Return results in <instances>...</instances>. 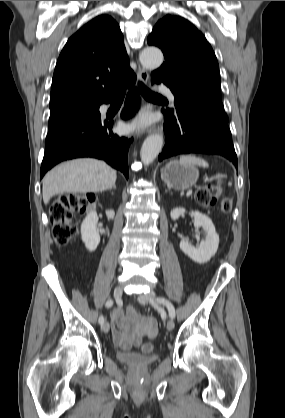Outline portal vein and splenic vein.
<instances>
[{
	"label": "portal vein and splenic vein",
	"mask_w": 285,
	"mask_h": 418,
	"mask_svg": "<svg viewBox=\"0 0 285 418\" xmlns=\"http://www.w3.org/2000/svg\"><path fill=\"white\" fill-rule=\"evenodd\" d=\"M186 195H187V196L192 195V190H188Z\"/></svg>",
	"instance_id": "18ae733b"
}]
</instances>
